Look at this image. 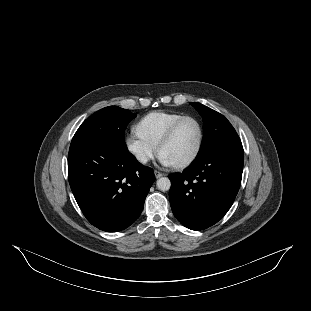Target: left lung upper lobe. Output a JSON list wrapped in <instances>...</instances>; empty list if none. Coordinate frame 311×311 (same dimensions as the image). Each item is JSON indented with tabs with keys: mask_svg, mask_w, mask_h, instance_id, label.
Segmentation results:
<instances>
[{
	"mask_svg": "<svg viewBox=\"0 0 311 311\" xmlns=\"http://www.w3.org/2000/svg\"><path fill=\"white\" fill-rule=\"evenodd\" d=\"M190 104L200 113L204 121V136L196 161L223 148L241 145L235 129L222 114L198 102Z\"/></svg>",
	"mask_w": 311,
	"mask_h": 311,
	"instance_id": "5c2ea615",
	"label": "left lung upper lobe"
}]
</instances>
